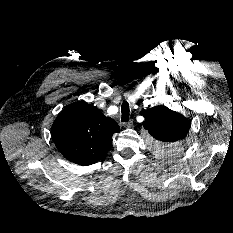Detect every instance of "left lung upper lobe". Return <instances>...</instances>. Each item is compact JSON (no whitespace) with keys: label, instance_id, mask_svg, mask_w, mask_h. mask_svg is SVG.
<instances>
[{"label":"left lung upper lobe","instance_id":"obj_1","mask_svg":"<svg viewBox=\"0 0 233 233\" xmlns=\"http://www.w3.org/2000/svg\"><path fill=\"white\" fill-rule=\"evenodd\" d=\"M144 128L151 135L152 146L165 153L179 152L182 140L190 129V121L165 106H155L145 112Z\"/></svg>","mask_w":233,"mask_h":233}]
</instances>
